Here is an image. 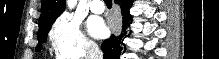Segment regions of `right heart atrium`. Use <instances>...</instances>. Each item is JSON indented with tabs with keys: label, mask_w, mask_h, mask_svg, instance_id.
<instances>
[{
	"label": "right heart atrium",
	"mask_w": 219,
	"mask_h": 59,
	"mask_svg": "<svg viewBox=\"0 0 219 59\" xmlns=\"http://www.w3.org/2000/svg\"><path fill=\"white\" fill-rule=\"evenodd\" d=\"M49 41L59 59L88 58L96 49V44L84 33L80 22L68 14L54 22L49 32Z\"/></svg>",
	"instance_id": "d8ad5b80"
}]
</instances>
